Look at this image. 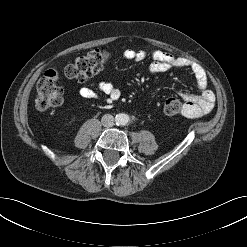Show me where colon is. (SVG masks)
Wrapping results in <instances>:
<instances>
[{
  "label": "colon",
  "instance_id": "5ec220e1",
  "mask_svg": "<svg viewBox=\"0 0 247 247\" xmlns=\"http://www.w3.org/2000/svg\"><path fill=\"white\" fill-rule=\"evenodd\" d=\"M108 61L105 50L95 49L78 56L65 68V76L78 81L86 80L101 72ZM63 102V88L58 82V74L51 70L38 81L35 104L39 110L58 107ZM184 109L183 103L176 98H169L164 103V113L174 116Z\"/></svg>",
  "mask_w": 247,
  "mask_h": 247
}]
</instances>
